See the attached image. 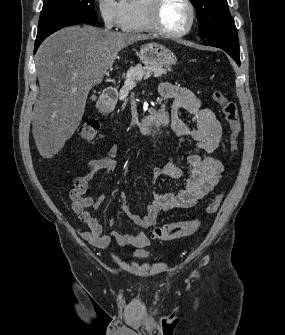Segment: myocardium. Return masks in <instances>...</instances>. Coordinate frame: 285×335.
<instances>
[{
	"label": "myocardium",
	"mask_w": 285,
	"mask_h": 335,
	"mask_svg": "<svg viewBox=\"0 0 285 335\" xmlns=\"http://www.w3.org/2000/svg\"><path fill=\"white\" fill-rule=\"evenodd\" d=\"M167 2L169 1H151L150 19H151L153 31L166 38L181 37L185 35L186 33H188L193 26L194 19H195L193 6L190 1H179L188 8L189 21L186 24V26H184L183 28L176 30V31H172V30L167 29L162 21L163 8Z\"/></svg>",
	"instance_id": "f54148a6"
}]
</instances>
